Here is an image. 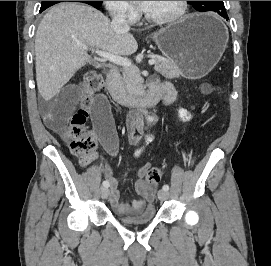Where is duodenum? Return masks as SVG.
<instances>
[{
  "instance_id": "obj_1",
  "label": "duodenum",
  "mask_w": 271,
  "mask_h": 266,
  "mask_svg": "<svg viewBox=\"0 0 271 266\" xmlns=\"http://www.w3.org/2000/svg\"><path fill=\"white\" fill-rule=\"evenodd\" d=\"M107 89L112 98L120 104H133L140 109H145L158 103L168 94V88L160 83H150L147 94L141 97L130 96L123 88L117 69H112L107 76Z\"/></svg>"
}]
</instances>
